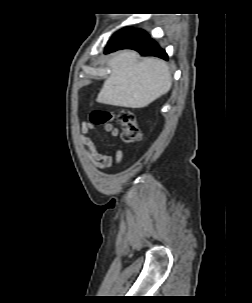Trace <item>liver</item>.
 <instances>
[{"mask_svg":"<svg viewBox=\"0 0 252 303\" xmlns=\"http://www.w3.org/2000/svg\"><path fill=\"white\" fill-rule=\"evenodd\" d=\"M111 74L98 94L100 103L143 108L166 94L172 86V76L165 61L146 58L138 61L135 51L124 50L110 61Z\"/></svg>","mask_w":252,"mask_h":303,"instance_id":"1","label":"liver"}]
</instances>
